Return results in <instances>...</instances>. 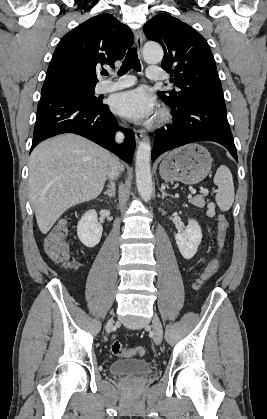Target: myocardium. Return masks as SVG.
I'll return each instance as SVG.
<instances>
[{"label": "myocardium", "mask_w": 267, "mask_h": 419, "mask_svg": "<svg viewBox=\"0 0 267 419\" xmlns=\"http://www.w3.org/2000/svg\"><path fill=\"white\" fill-rule=\"evenodd\" d=\"M170 118H171V114L169 110L166 108H162L157 115L156 122L158 124H163V123L168 122Z\"/></svg>", "instance_id": "myocardium-1"}]
</instances>
